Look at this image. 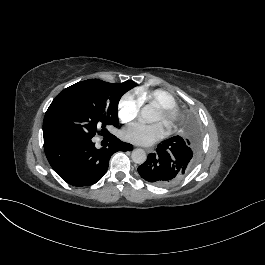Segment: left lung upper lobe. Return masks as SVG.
<instances>
[{
	"label": "left lung upper lobe",
	"mask_w": 265,
	"mask_h": 265,
	"mask_svg": "<svg viewBox=\"0 0 265 265\" xmlns=\"http://www.w3.org/2000/svg\"><path fill=\"white\" fill-rule=\"evenodd\" d=\"M182 136L186 142V145L191 148V151L193 153L192 162L194 164V161L200 151V145H201L200 128L196 120H194V118H189V121Z\"/></svg>",
	"instance_id": "1"
}]
</instances>
